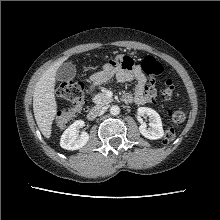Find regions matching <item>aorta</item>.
<instances>
[{
  "instance_id": "762f6f07",
  "label": "aorta",
  "mask_w": 220,
  "mask_h": 220,
  "mask_svg": "<svg viewBox=\"0 0 220 220\" xmlns=\"http://www.w3.org/2000/svg\"><path fill=\"white\" fill-rule=\"evenodd\" d=\"M110 113L112 115H118L120 113V108L117 105H114L110 108Z\"/></svg>"
}]
</instances>
